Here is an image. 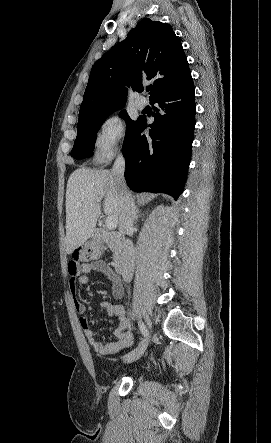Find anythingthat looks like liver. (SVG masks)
<instances>
[{
	"instance_id": "1",
	"label": "liver",
	"mask_w": 271,
	"mask_h": 443,
	"mask_svg": "<svg viewBox=\"0 0 271 443\" xmlns=\"http://www.w3.org/2000/svg\"><path fill=\"white\" fill-rule=\"evenodd\" d=\"M103 198L104 214L119 225L123 204L111 172L83 166L72 172L66 188V253H72L94 233Z\"/></svg>"
}]
</instances>
